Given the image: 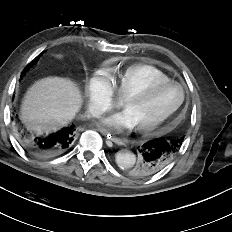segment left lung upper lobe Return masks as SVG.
Wrapping results in <instances>:
<instances>
[{
	"mask_svg": "<svg viewBox=\"0 0 232 232\" xmlns=\"http://www.w3.org/2000/svg\"><path fill=\"white\" fill-rule=\"evenodd\" d=\"M175 139H177V140H180V141H183V137L182 138H175ZM136 166V165H135ZM135 166H133V167H131V168H129L128 170H127V172L131 175V172H132V170L134 169V167ZM132 176V175H131ZM133 177V176H132Z\"/></svg>",
	"mask_w": 232,
	"mask_h": 232,
	"instance_id": "obj_1",
	"label": "left lung upper lobe"
}]
</instances>
